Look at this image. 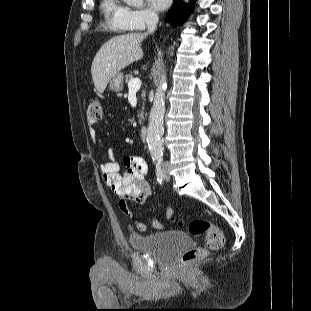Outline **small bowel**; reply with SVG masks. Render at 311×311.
<instances>
[{"label": "small bowel", "mask_w": 311, "mask_h": 311, "mask_svg": "<svg viewBox=\"0 0 311 311\" xmlns=\"http://www.w3.org/2000/svg\"><path fill=\"white\" fill-rule=\"evenodd\" d=\"M96 121L88 120V131L91 138L95 141L96 130L94 129ZM116 153L109 152V160L100 163V170L104 183L110 187L119 197V208L131 220L138 231L145 232L147 226L144 222L136 218L128 202L143 204L151 194V187L146 179L147 164L143 157L130 155L123 157L124 170L121 172V164L115 159ZM151 222L154 227L162 228V224L152 217Z\"/></svg>", "instance_id": "obj_1"}]
</instances>
